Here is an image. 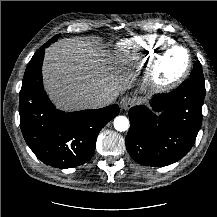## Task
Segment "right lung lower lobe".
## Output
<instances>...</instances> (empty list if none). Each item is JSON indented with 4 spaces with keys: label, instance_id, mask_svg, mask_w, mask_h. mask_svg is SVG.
<instances>
[{
    "label": "right lung lower lobe",
    "instance_id": "right-lung-lower-lobe-1",
    "mask_svg": "<svg viewBox=\"0 0 217 217\" xmlns=\"http://www.w3.org/2000/svg\"><path fill=\"white\" fill-rule=\"evenodd\" d=\"M44 44L26 68L20 91V125L23 137L43 163L71 168L89 161L100 130L119 113L114 104L102 109L65 113L57 110L44 92Z\"/></svg>",
    "mask_w": 217,
    "mask_h": 217
}]
</instances>
